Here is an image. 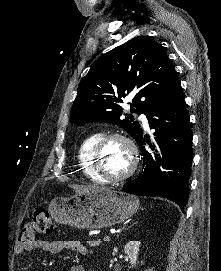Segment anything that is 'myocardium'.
I'll list each match as a JSON object with an SVG mask.
<instances>
[{"mask_svg":"<svg viewBox=\"0 0 221 271\" xmlns=\"http://www.w3.org/2000/svg\"><path fill=\"white\" fill-rule=\"evenodd\" d=\"M105 133L107 134V137L100 138V140H98V145L95 147L96 150L94 153H91L90 159L94 162L95 172H98V175H101V178H106V183H121V178H129V176L135 171L136 167L140 166V163L137 162L138 147L137 145H132V137L123 129L111 130ZM109 142H120L121 150H127L126 153H123V158L130 166L127 167L126 170L118 177L116 175H107V172H104L103 165L100 163L101 155L103 154L102 150H105V145H109Z\"/></svg>","mask_w":221,"mask_h":271,"instance_id":"f54148a6","label":"myocardium"}]
</instances>
